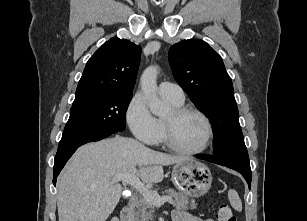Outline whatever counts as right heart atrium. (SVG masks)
I'll return each instance as SVG.
<instances>
[{"instance_id": "1", "label": "right heart atrium", "mask_w": 307, "mask_h": 221, "mask_svg": "<svg viewBox=\"0 0 307 221\" xmlns=\"http://www.w3.org/2000/svg\"><path fill=\"white\" fill-rule=\"evenodd\" d=\"M125 117L130 130L138 140L148 145L156 144L159 135L158 122L141 93H136L130 99Z\"/></svg>"}]
</instances>
